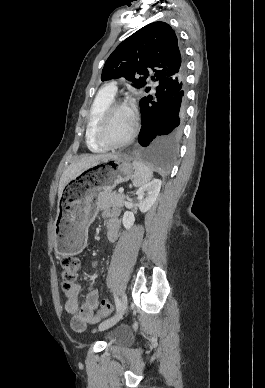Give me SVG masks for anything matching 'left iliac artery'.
<instances>
[{
  "mask_svg": "<svg viewBox=\"0 0 265 388\" xmlns=\"http://www.w3.org/2000/svg\"><path fill=\"white\" fill-rule=\"evenodd\" d=\"M114 299H115V304H116V310L118 311L120 308V305H121V301L119 300V298L116 295L114 296Z\"/></svg>",
  "mask_w": 265,
  "mask_h": 388,
  "instance_id": "44dca946",
  "label": "left iliac artery"
}]
</instances>
